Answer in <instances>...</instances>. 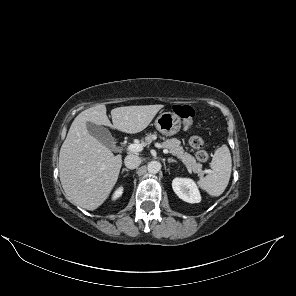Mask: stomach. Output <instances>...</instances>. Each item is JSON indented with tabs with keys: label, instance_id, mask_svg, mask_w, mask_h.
Segmentation results:
<instances>
[{
	"label": "stomach",
	"instance_id": "stomach-1",
	"mask_svg": "<svg viewBox=\"0 0 296 296\" xmlns=\"http://www.w3.org/2000/svg\"><path fill=\"white\" fill-rule=\"evenodd\" d=\"M155 126L161 134L171 136L179 132L181 120L174 112H163L156 118Z\"/></svg>",
	"mask_w": 296,
	"mask_h": 296
}]
</instances>
